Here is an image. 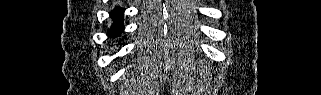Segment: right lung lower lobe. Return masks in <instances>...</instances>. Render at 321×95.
I'll list each match as a JSON object with an SVG mask.
<instances>
[{
  "instance_id": "1",
  "label": "right lung lower lobe",
  "mask_w": 321,
  "mask_h": 95,
  "mask_svg": "<svg viewBox=\"0 0 321 95\" xmlns=\"http://www.w3.org/2000/svg\"><path fill=\"white\" fill-rule=\"evenodd\" d=\"M124 9L116 7L111 13V18L113 19L114 25L109 30L108 34L110 37H115L119 35L123 30L124 26L121 23V16L123 15Z\"/></svg>"
}]
</instances>
